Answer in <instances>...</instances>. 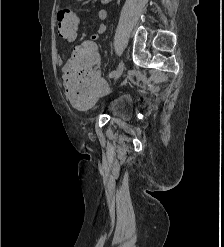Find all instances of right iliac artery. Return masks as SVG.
Returning <instances> with one entry per match:
<instances>
[{
    "mask_svg": "<svg viewBox=\"0 0 224 247\" xmlns=\"http://www.w3.org/2000/svg\"><path fill=\"white\" fill-rule=\"evenodd\" d=\"M115 74V71H112L110 74H109V77H113Z\"/></svg>",
    "mask_w": 224,
    "mask_h": 247,
    "instance_id": "1",
    "label": "right iliac artery"
}]
</instances>
